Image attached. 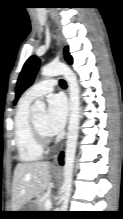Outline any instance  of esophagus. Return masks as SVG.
<instances>
[{
	"instance_id": "esophagus-1",
	"label": "esophagus",
	"mask_w": 123,
	"mask_h": 219,
	"mask_svg": "<svg viewBox=\"0 0 123 219\" xmlns=\"http://www.w3.org/2000/svg\"><path fill=\"white\" fill-rule=\"evenodd\" d=\"M55 38H56L58 44H61L60 35H59L58 33L55 35ZM63 149H64V144H62V145L60 146L58 152H57V153L55 154V156H54V161H53V166H54V167H58V166H59V165H58V158H59V155L61 154V152L63 151Z\"/></svg>"
}]
</instances>
